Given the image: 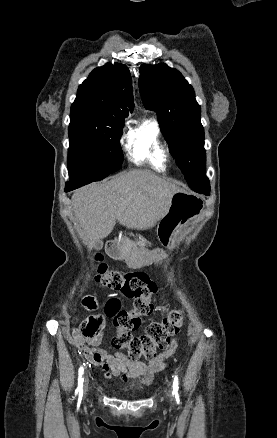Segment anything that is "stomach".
I'll list each match as a JSON object with an SVG mask.
<instances>
[{
	"instance_id": "1",
	"label": "stomach",
	"mask_w": 277,
	"mask_h": 438,
	"mask_svg": "<svg viewBox=\"0 0 277 438\" xmlns=\"http://www.w3.org/2000/svg\"><path fill=\"white\" fill-rule=\"evenodd\" d=\"M203 211L202 200L185 190L174 193L171 196L168 211L159 221L157 234L161 243L168 249H175L179 240L181 227L197 218ZM165 258L162 249L153 251H138L134 253L131 266L157 264Z\"/></svg>"
}]
</instances>
